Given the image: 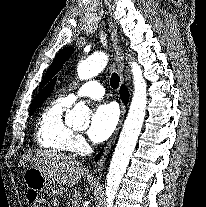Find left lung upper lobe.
Masks as SVG:
<instances>
[{
	"mask_svg": "<svg viewBox=\"0 0 206 207\" xmlns=\"http://www.w3.org/2000/svg\"><path fill=\"white\" fill-rule=\"evenodd\" d=\"M73 51V47H67L57 54L51 66L48 68L46 75L41 82L40 88L43 87L52 78V76H54L62 68L63 64L72 55Z\"/></svg>",
	"mask_w": 206,
	"mask_h": 207,
	"instance_id": "5c2ea615",
	"label": "left lung upper lobe"
}]
</instances>
